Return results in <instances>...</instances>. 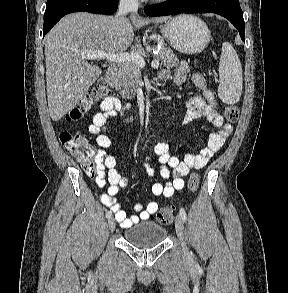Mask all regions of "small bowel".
I'll return each mask as SVG.
<instances>
[{
  "instance_id": "1",
  "label": "small bowel",
  "mask_w": 288,
  "mask_h": 293,
  "mask_svg": "<svg viewBox=\"0 0 288 293\" xmlns=\"http://www.w3.org/2000/svg\"><path fill=\"white\" fill-rule=\"evenodd\" d=\"M189 66L186 62L172 72L162 71L160 77L170 79L177 85H183L187 80ZM192 83L201 91V96L191 97L187 101V112L184 123L200 117H205L217 130L209 137L207 146L198 154H187L183 160L171 155L169 145L159 142L154 146V154L161 164L160 175L166 180L165 183L155 182L151 186V192L155 196L170 198L176 191L183 189L184 176L192 169H201L207 165L211 157L223 146L226 138L232 132V126L225 122L220 114L217 101L212 90L208 87L205 78L199 72L191 76ZM129 104H122L117 98H107L100 105L99 111L94 114L92 123L88 127L89 133L95 137L99 149L96 153V183L102 188L108 183L106 193L100 196V201L114 213L115 219L122 227H130L140 220H148L158 210V203L149 202L145 207L137 203L134 206L138 215L127 217L126 212L117 202L115 195L120 188L127 185V174L120 170L117 165L123 158L121 155H111L106 149L111 146V139L104 133L108 130V119L116 116L121 111H128ZM146 172L154 174L153 168L148 161L145 164Z\"/></svg>"
}]
</instances>
